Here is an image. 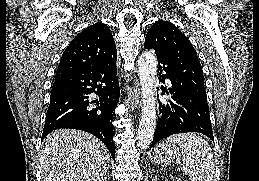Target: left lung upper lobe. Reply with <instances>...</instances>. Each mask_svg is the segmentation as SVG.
I'll return each mask as SVG.
<instances>
[{
	"mask_svg": "<svg viewBox=\"0 0 259 181\" xmlns=\"http://www.w3.org/2000/svg\"><path fill=\"white\" fill-rule=\"evenodd\" d=\"M144 48L154 49L165 59L178 81L189 86L198 96L206 98L203 70L197 53L188 38L172 23L157 21L149 29Z\"/></svg>",
	"mask_w": 259,
	"mask_h": 181,
	"instance_id": "left-lung-upper-lobe-1",
	"label": "left lung upper lobe"
}]
</instances>
